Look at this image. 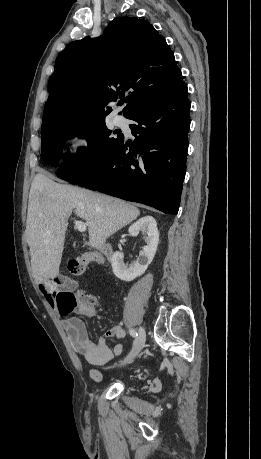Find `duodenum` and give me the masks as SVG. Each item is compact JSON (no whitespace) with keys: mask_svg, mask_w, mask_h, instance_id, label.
<instances>
[{"mask_svg":"<svg viewBox=\"0 0 261 459\" xmlns=\"http://www.w3.org/2000/svg\"><path fill=\"white\" fill-rule=\"evenodd\" d=\"M101 252L107 257V258H111L112 256V249L110 246L108 245H104L101 247Z\"/></svg>","mask_w":261,"mask_h":459,"instance_id":"obj_1","label":"duodenum"}]
</instances>
